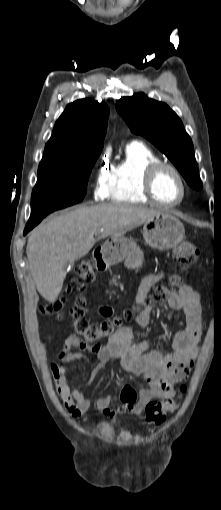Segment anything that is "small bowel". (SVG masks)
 Instances as JSON below:
<instances>
[{
  "label": "small bowel",
  "instance_id": "c3829d8e",
  "mask_svg": "<svg viewBox=\"0 0 221 510\" xmlns=\"http://www.w3.org/2000/svg\"><path fill=\"white\" fill-rule=\"evenodd\" d=\"M163 278H165L163 270L145 277L136 295L137 306L143 304L151 287ZM168 305L172 310L184 315L187 327L165 338L164 351L155 348V341L152 339L136 338L128 327L120 328L105 343L92 346L87 345L76 335H70L65 339L57 356L58 364H53L51 369L58 394L66 410L73 417H80L91 407L107 418H113L117 414L139 415L150 401L174 395V384L186 379L198 356L203 330V311L199 292L188 284H180L173 289ZM150 320L149 308L142 307L136 316L137 323L141 327H148ZM86 350L89 353H86ZM91 356L98 361V365L91 373L86 386L92 383L107 364L119 361L126 372L142 376L148 387L136 393L131 387L120 383L118 387L123 403L114 410L110 408L111 395L91 402L83 388L71 386V375L68 370L70 363L89 361Z\"/></svg>",
  "mask_w": 221,
  "mask_h": 510
}]
</instances>
